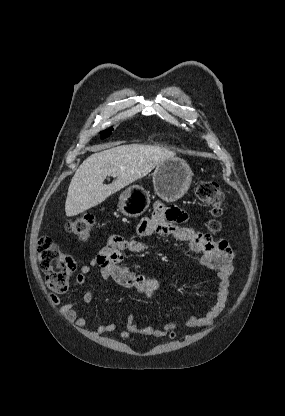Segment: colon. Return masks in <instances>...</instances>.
Here are the masks:
<instances>
[{
  "label": "colon",
  "instance_id": "1",
  "mask_svg": "<svg viewBox=\"0 0 285 416\" xmlns=\"http://www.w3.org/2000/svg\"><path fill=\"white\" fill-rule=\"evenodd\" d=\"M196 197L209 207L212 215L208 223L211 233H217L221 229L219 221L224 212V194L217 183L212 181H199L195 185ZM95 218L92 214H83L70 220L67 231L79 241L86 242L90 239ZM39 264L45 272L47 286L56 293L67 290L72 275L76 269L74 259L61 249L53 240L42 238L38 244ZM176 325L169 323L166 330L173 335Z\"/></svg>",
  "mask_w": 285,
  "mask_h": 416
}]
</instances>
